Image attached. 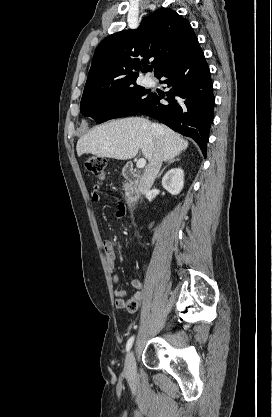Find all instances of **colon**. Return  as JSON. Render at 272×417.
Listing matches in <instances>:
<instances>
[{"label": "colon", "mask_w": 272, "mask_h": 417, "mask_svg": "<svg viewBox=\"0 0 272 417\" xmlns=\"http://www.w3.org/2000/svg\"><path fill=\"white\" fill-rule=\"evenodd\" d=\"M86 169L96 176L97 178L103 179L106 176L107 162L103 157L100 156H89L85 159ZM129 312L134 313L138 309V303L135 301H129L127 304Z\"/></svg>", "instance_id": "5ec220e1"}]
</instances>
